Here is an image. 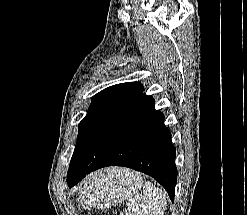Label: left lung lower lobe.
<instances>
[{"mask_svg":"<svg viewBox=\"0 0 247 215\" xmlns=\"http://www.w3.org/2000/svg\"><path fill=\"white\" fill-rule=\"evenodd\" d=\"M151 96L141 93L134 103L98 139L81 143L67 173L69 187L99 168L117 165L152 176L174 200L176 149L164 115L154 109Z\"/></svg>","mask_w":247,"mask_h":215,"instance_id":"left-lung-lower-lobe-1","label":"left lung lower lobe"}]
</instances>
